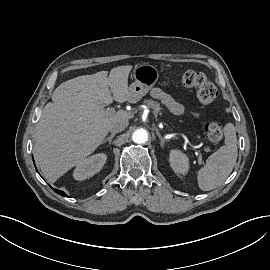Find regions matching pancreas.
I'll return each mask as SVG.
<instances>
[{"label": "pancreas", "mask_w": 270, "mask_h": 270, "mask_svg": "<svg viewBox=\"0 0 270 270\" xmlns=\"http://www.w3.org/2000/svg\"><path fill=\"white\" fill-rule=\"evenodd\" d=\"M144 103L147 105V107L153 109V112L155 115H161V106H160V103L156 102V101H153L151 99H147V100H144Z\"/></svg>", "instance_id": "cf45deb5"}]
</instances>
